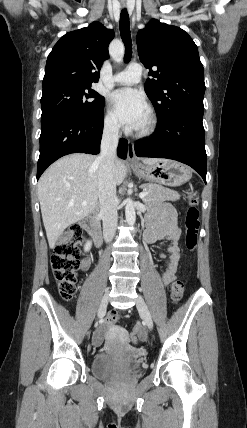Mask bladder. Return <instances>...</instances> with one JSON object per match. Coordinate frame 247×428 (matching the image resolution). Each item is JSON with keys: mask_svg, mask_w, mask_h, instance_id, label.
<instances>
[{"mask_svg": "<svg viewBox=\"0 0 247 428\" xmlns=\"http://www.w3.org/2000/svg\"><path fill=\"white\" fill-rule=\"evenodd\" d=\"M117 367H124L132 373L141 370V361L133 356H118L111 352L97 354L92 362L93 374L97 377H108Z\"/></svg>", "mask_w": 247, "mask_h": 428, "instance_id": "bladder-1", "label": "bladder"}]
</instances>
